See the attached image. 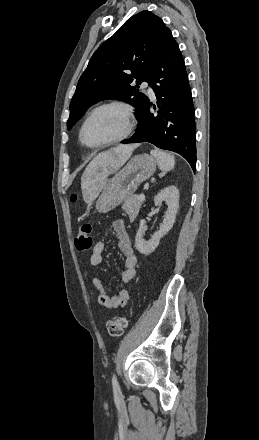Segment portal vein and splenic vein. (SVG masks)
Listing matches in <instances>:
<instances>
[{
    "label": "portal vein and splenic vein",
    "mask_w": 259,
    "mask_h": 440,
    "mask_svg": "<svg viewBox=\"0 0 259 440\" xmlns=\"http://www.w3.org/2000/svg\"><path fill=\"white\" fill-rule=\"evenodd\" d=\"M138 199H139L140 201H144V200H145V195H144V194H140V195L138 196Z\"/></svg>",
    "instance_id": "portal-vein-and-splenic-vein-1"
}]
</instances>
